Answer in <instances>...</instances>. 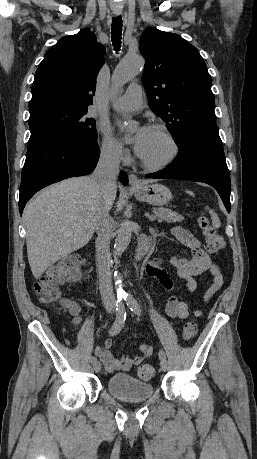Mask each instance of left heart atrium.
Segmentation results:
<instances>
[{
  "mask_svg": "<svg viewBox=\"0 0 257 459\" xmlns=\"http://www.w3.org/2000/svg\"><path fill=\"white\" fill-rule=\"evenodd\" d=\"M150 127L141 126L134 137V148L137 154H141L150 133Z\"/></svg>",
  "mask_w": 257,
  "mask_h": 459,
  "instance_id": "left-heart-atrium-1",
  "label": "left heart atrium"
}]
</instances>
